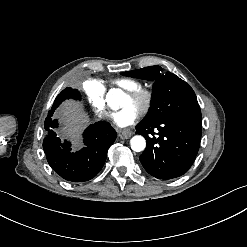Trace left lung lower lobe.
Masks as SVG:
<instances>
[{
  "mask_svg": "<svg viewBox=\"0 0 247 247\" xmlns=\"http://www.w3.org/2000/svg\"><path fill=\"white\" fill-rule=\"evenodd\" d=\"M136 133L147 140L139 159L144 169L159 179L185 174L193 164L201 141L202 125L187 118H169L152 125L138 124ZM154 129L158 130L157 137Z\"/></svg>",
  "mask_w": 247,
  "mask_h": 247,
  "instance_id": "obj_1",
  "label": "left lung lower lobe"
}]
</instances>
